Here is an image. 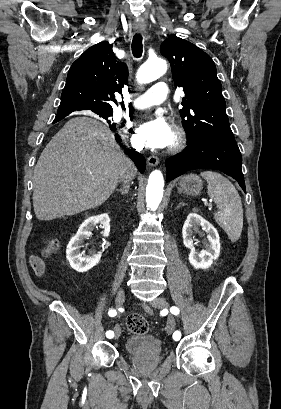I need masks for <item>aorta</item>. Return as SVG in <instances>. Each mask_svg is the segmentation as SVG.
Here are the masks:
<instances>
[{
	"label": "aorta",
	"mask_w": 281,
	"mask_h": 409,
	"mask_svg": "<svg viewBox=\"0 0 281 409\" xmlns=\"http://www.w3.org/2000/svg\"><path fill=\"white\" fill-rule=\"evenodd\" d=\"M167 71L165 60L156 58L147 60L139 69L137 79L139 83H150L161 77ZM164 178L159 170L151 172L146 187L147 208L155 211L163 197Z\"/></svg>",
	"instance_id": "obj_1"
}]
</instances>
